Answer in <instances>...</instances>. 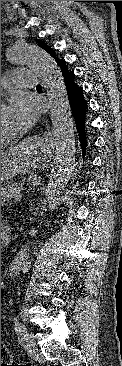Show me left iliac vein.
I'll use <instances>...</instances> for the list:
<instances>
[{
    "label": "left iliac vein",
    "mask_w": 122,
    "mask_h": 366,
    "mask_svg": "<svg viewBox=\"0 0 122 366\" xmlns=\"http://www.w3.org/2000/svg\"><path fill=\"white\" fill-rule=\"evenodd\" d=\"M25 334L26 336L22 338V341L24 340L26 342L25 348L29 351H35L36 348L33 334L27 332Z\"/></svg>",
    "instance_id": "1"
}]
</instances>
